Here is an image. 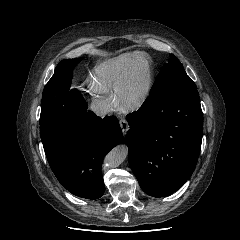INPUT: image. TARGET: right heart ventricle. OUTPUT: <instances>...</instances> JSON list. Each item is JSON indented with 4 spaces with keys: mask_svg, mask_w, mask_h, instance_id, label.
<instances>
[{
    "mask_svg": "<svg viewBox=\"0 0 240 240\" xmlns=\"http://www.w3.org/2000/svg\"><path fill=\"white\" fill-rule=\"evenodd\" d=\"M130 63L140 68L147 63V57L143 52H132L113 58L96 69V82L106 90L115 89L123 70Z\"/></svg>",
    "mask_w": 240,
    "mask_h": 240,
    "instance_id": "1",
    "label": "right heart ventricle"
}]
</instances>
